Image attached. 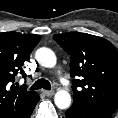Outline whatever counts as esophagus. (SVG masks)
<instances>
[{
	"mask_svg": "<svg viewBox=\"0 0 118 118\" xmlns=\"http://www.w3.org/2000/svg\"><path fill=\"white\" fill-rule=\"evenodd\" d=\"M42 92L48 97L54 95L55 93L54 91H47V90H43Z\"/></svg>",
	"mask_w": 118,
	"mask_h": 118,
	"instance_id": "esophagus-1",
	"label": "esophagus"
}]
</instances>
